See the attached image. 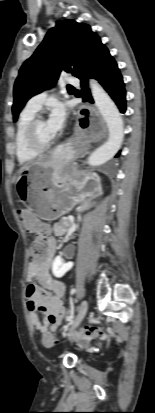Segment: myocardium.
I'll list each match as a JSON object with an SVG mask.
<instances>
[{
    "mask_svg": "<svg viewBox=\"0 0 155 413\" xmlns=\"http://www.w3.org/2000/svg\"><path fill=\"white\" fill-rule=\"evenodd\" d=\"M39 121H41L40 117H34L25 131V141L28 148L38 154L48 150L54 143L53 139L49 142H41L38 139L36 128Z\"/></svg>",
    "mask_w": 155,
    "mask_h": 413,
    "instance_id": "1",
    "label": "myocardium"
}]
</instances>
